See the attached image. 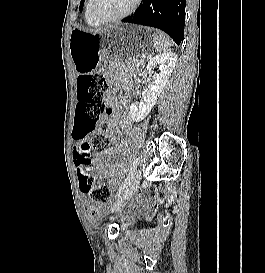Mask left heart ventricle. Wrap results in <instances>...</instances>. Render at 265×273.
<instances>
[{"label":"left heart ventricle","mask_w":265,"mask_h":273,"mask_svg":"<svg viewBox=\"0 0 265 273\" xmlns=\"http://www.w3.org/2000/svg\"><path fill=\"white\" fill-rule=\"evenodd\" d=\"M134 0H97L96 12L105 18L114 17L127 11Z\"/></svg>","instance_id":"1"}]
</instances>
